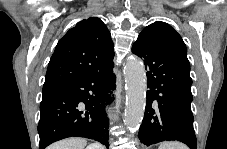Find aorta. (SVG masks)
I'll list each match as a JSON object with an SVG mask.
<instances>
[{
    "mask_svg": "<svg viewBox=\"0 0 227 149\" xmlns=\"http://www.w3.org/2000/svg\"><path fill=\"white\" fill-rule=\"evenodd\" d=\"M126 82V108L124 122L129 130L139 128L146 104V74L142 62L137 59L127 60L124 66Z\"/></svg>",
    "mask_w": 227,
    "mask_h": 149,
    "instance_id": "762f6f07",
    "label": "aorta"
}]
</instances>
